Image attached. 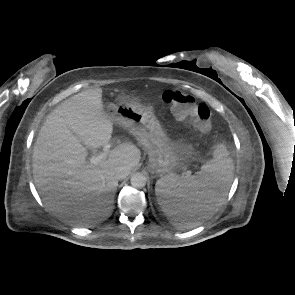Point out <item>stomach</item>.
<instances>
[{"instance_id": "stomach-1", "label": "stomach", "mask_w": 295, "mask_h": 295, "mask_svg": "<svg viewBox=\"0 0 295 295\" xmlns=\"http://www.w3.org/2000/svg\"><path fill=\"white\" fill-rule=\"evenodd\" d=\"M106 113L113 122L126 127L147 149L148 167L152 171L162 176L178 168L183 146L166 136L151 107L121 100L109 104ZM160 206L164 211V207Z\"/></svg>"}]
</instances>
